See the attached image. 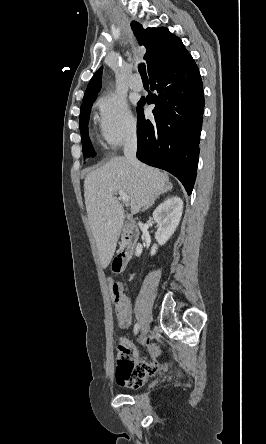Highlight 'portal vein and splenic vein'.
Returning a JSON list of instances; mask_svg holds the SVG:
<instances>
[{
  "label": "portal vein and splenic vein",
  "instance_id": "portal-vein-and-splenic-vein-1",
  "mask_svg": "<svg viewBox=\"0 0 266 444\" xmlns=\"http://www.w3.org/2000/svg\"><path fill=\"white\" fill-rule=\"evenodd\" d=\"M118 195H119V197L122 199V201H123L124 203H129V201H130V197H129L125 192L119 190V191H118Z\"/></svg>",
  "mask_w": 266,
  "mask_h": 444
}]
</instances>
